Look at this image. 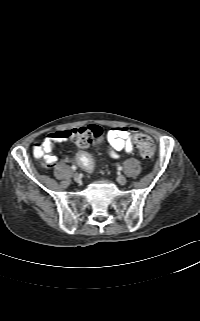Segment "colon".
I'll return each instance as SVG.
<instances>
[{"label":"colon","mask_w":200,"mask_h":321,"mask_svg":"<svg viewBox=\"0 0 200 321\" xmlns=\"http://www.w3.org/2000/svg\"><path fill=\"white\" fill-rule=\"evenodd\" d=\"M102 136V128L96 125L75 128L73 130H69L65 135L68 140L75 142L81 148L97 146L100 143ZM135 145L139 154L143 158L150 159L153 157L155 152V145L153 140L149 136L141 133L137 134L135 136ZM75 160L82 166V168L87 171H91L94 167L93 158L85 150L78 151L75 155Z\"/></svg>","instance_id":"colon-1"}]
</instances>
